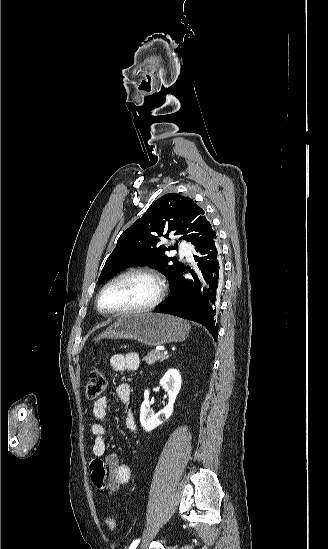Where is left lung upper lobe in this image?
<instances>
[{"mask_svg":"<svg viewBox=\"0 0 328 549\" xmlns=\"http://www.w3.org/2000/svg\"><path fill=\"white\" fill-rule=\"evenodd\" d=\"M177 237V242L186 240L195 250L216 236L205 212L191 198L169 193L147 209L144 215L135 221L119 237L117 245L108 257L98 283H103L119 271L131 266H149L164 274L170 286L181 275L183 263L175 257L170 258L167 248L160 245L161 237Z\"/></svg>","mask_w":328,"mask_h":549,"instance_id":"left-lung-upper-lobe-1","label":"left lung upper lobe"}]
</instances>
